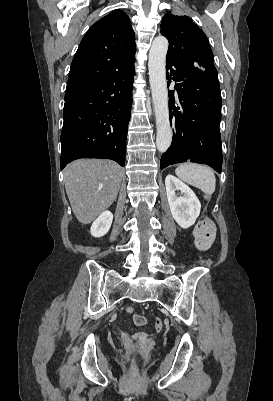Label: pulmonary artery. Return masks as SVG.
<instances>
[{
    "label": "pulmonary artery",
    "mask_w": 273,
    "mask_h": 401,
    "mask_svg": "<svg viewBox=\"0 0 273 401\" xmlns=\"http://www.w3.org/2000/svg\"><path fill=\"white\" fill-rule=\"evenodd\" d=\"M169 69H172V66H169Z\"/></svg>",
    "instance_id": "1"
}]
</instances>
